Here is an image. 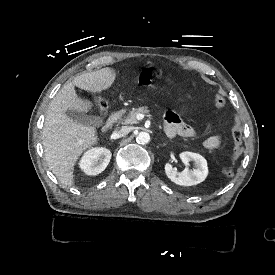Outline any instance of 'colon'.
Wrapping results in <instances>:
<instances>
[{
  "mask_svg": "<svg viewBox=\"0 0 275 275\" xmlns=\"http://www.w3.org/2000/svg\"><path fill=\"white\" fill-rule=\"evenodd\" d=\"M89 103L95 105V107L99 109H104L107 106V103L104 100H101L98 103L94 101H90ZM214 105L219 108H223L226 105L225 97L221 94H217L214 97ZM232 137L234 140V150L231 157V165L224 169V175L227 177H232L234 175V164L238 161L241 154L243 153L241 129L238 125H234L232 128Z\"/></svg>",
  "mask_w": 275,
  "mask_h": 275,
  "instance_id": "colon-1",
  "label": "colon"
}]
</instances>
